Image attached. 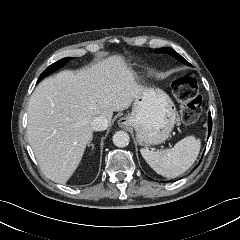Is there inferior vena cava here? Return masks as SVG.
<instances>
[{
	"label": "inferior vena cava",
	"instance_id": "1",
	"mask_svg": "<svg viewBox=\"0 0 240 240\" xmlns=\"http://www.w3.org/2000/svg\"><path fill=\"white\" fill-rule=\"evenodd\" d=\"M108 127V120L102 116H96L91 121V128L94 131H103L106 130Z\"/></svg>",
	"mask_w": 240,
	"mask_h": 240
}]
</instances>
